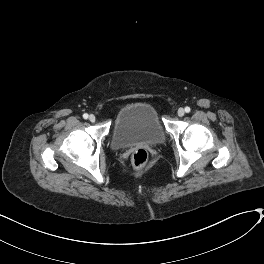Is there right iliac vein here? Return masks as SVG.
Listing matches in <instances>:
<instances>
[{
  "label": "right iliac vein",
  "instance_id": "63e3f726",
  "mask_svg": "<svg viewBox=\"0 0 264 264\" xmlns=\"http://www.w3.org/2000/svg\"><path fill=\"white\" fill-rule=\"evenodd\" d=\"M89 120H90V122H95L96 121L95 115H90Z\"/></svg>",
  "mask_w": 264,
  "mask_h": 264
}]
</instances>
